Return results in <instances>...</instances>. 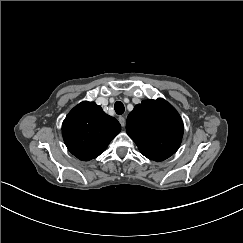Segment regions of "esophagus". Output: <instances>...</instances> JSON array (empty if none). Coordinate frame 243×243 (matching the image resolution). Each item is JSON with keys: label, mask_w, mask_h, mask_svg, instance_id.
Here are the masks:
<instances>
[{"label": "esophagus", "mask_w": 243, "mask_h": 243, "mask_svg": "<svg viewBox=\"0 0 243 243\" xmlns=\"http://www.w3.org/2000/svg\"><path fill=\"white\" fill-rule=\"evenodd\" d=\"M118 121L122 127L125 126V118L123 116H119Z\"/></svg>", "instance_id": "esophagus-1"}]
</instances>
